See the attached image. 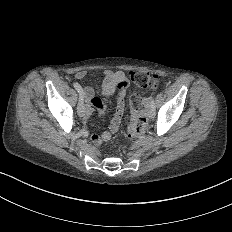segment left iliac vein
Returning <instances> with one entry per match:
<instances>
[{"label": "left iliac vein", "instance_id": "4c4485c4", "mask_svg": "<svg viewBox=\"0 0 232 232\" xmlns=\"http://www.w3.org/2000/svg\"><path fill=\"white\" fill-rule=\"evenodd\" d=\"M148 117L149 118H154L155 117V111L154 110H149L148 111Z\"/></svg>", "mask_w": 232, "mask_h": 232}]
</instances>
